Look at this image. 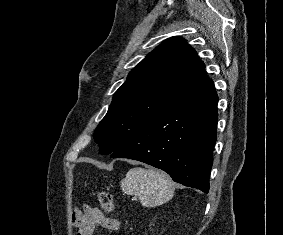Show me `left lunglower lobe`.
Returning <instances> with one entry per match:
<instances>
[{
	"label": "left lung lower lobe",
	"mask_w": 283,
	"mask_h": 235,
	"mask_svg": "<svg viewBox=\"0 0 283 235\" xmlns=\"http://www.w3.org/2000/svg\"><path fill=\"white\" fill-rule=\"evenodd\" d=\"M217 103L214 84L209 80L146 125L111 157L147 163L167 172L175 182L207 193Z\"/></svg>",
	"instance_id": "obj_1"
}]
</instances>
